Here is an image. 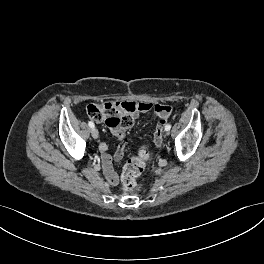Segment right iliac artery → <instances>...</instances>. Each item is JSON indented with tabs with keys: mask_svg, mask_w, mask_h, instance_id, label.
<instances>
[{
	"mask_svg": "<svg viewBox=\"0 0 264 264\" xmlns=\"http://www.w3.org/2000/svg\"><path fill=\"white\" fill-rule=\"evenodd\" d=\"M88 125H89L90 128H94V123L92 121H89Z\"/></svg>",
	"mask_w": 264,
	"mask_h": 264,
	"instance_id": "obj_1",
	"label": "right iliac artery"
}]
</instances>
